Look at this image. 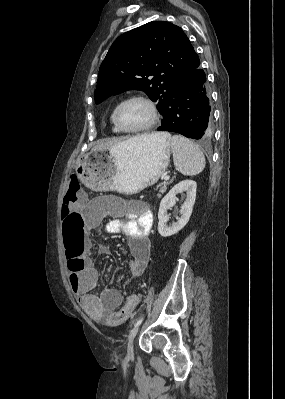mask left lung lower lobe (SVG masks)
<instances>
[{"mask_svg":"<svg viewBox=\"0 0 285 399\" xmlns=\"http://www.w3.org/2000/svg\"><path fill=\"white\" fill-rule=\"evenodd\" d=\"M200 61L176 83L158 131L205 140L212 136L211 103Z\"/></svg>","mask_w":285,"mask_h":399,"instance_id":"obj_1","label":"left lung lower lobe"}]
</instances>
